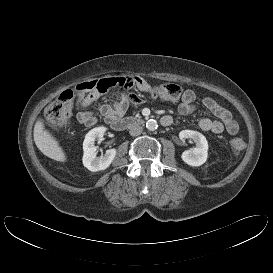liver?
Listing matches in <instances>:
<instances>
[{"label":"liver","mask_w":273,"mask_h":273,"mask_svg":"<svg viewBox=\"0 0 273 273\" xmlns=\"http://www.w3.org/2000/svg\"><path fill=\"white\" fill-rule=\"evenodd\" d=\"M33 136L37 148L44 155L59 162H65L67 160L65 152L59 145V142L45 129L44 120L42 118L36 121Z\"/></svg>","instance_id":"liver-1"}]
</instances>
